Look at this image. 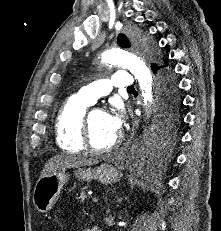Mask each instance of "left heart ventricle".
<instances>
[{
	"label": "left heart ventricle",
	"mask_w": 221,
	"mask_h": 231,
	"mask_svg": "<svg viewBox=\"0 0 221 231\" xmlns=\"http://www.w3.org/2000/svg\"><path fill=\"white\" fill-rule=\"evenodd\" d=\"M91 140L97 148L108 147L118 136L114 132L107 120L106 113L101 111H94L90 119Z\"/></svg>",
	"instance_id": "1"
}]
</instances>
